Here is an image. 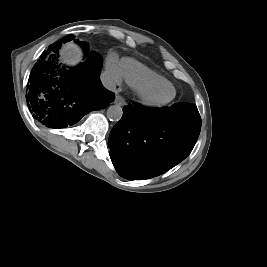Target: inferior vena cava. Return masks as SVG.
I'll return each mask as SVG.
<instances>
[{"label":"inferior vena cava","instance_id":"obj_1","mask_svg":"<svg viewBox=\"0 0 267 267\" xmlns=\"http://www.w3.org/2000/svg\"><path fill=\"white\" fill-rule=\"evenodd\" d=\"M103 86L108 90H114L116 88L114 80L107 73H102L100 76Z\"/></svg>","mask_w":267,"mask_h":267}]
</instances>
